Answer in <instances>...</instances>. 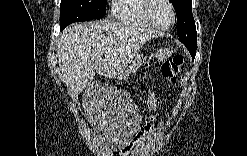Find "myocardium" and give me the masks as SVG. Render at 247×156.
Masks as SVG:
<instances>
[{
    "label": "myocardium",
    "instance_id": "f54148a6",
    "mask_svg": "<svg viewBox=\"0 0 247 156\" xmlns=\"http://www.w3.org/2000/svg\"><path fill=\"white\" fill-rule=\"evenodd\" d=\"M158 1V0H147L145 1L144 3V15L147 19V21L149 22V24L153 27V28H156V29H159V30H168L170 28H172L176 22V13H175V10H174V7L172 5V3L169 1V0H159V1H163L165 2L168 7L170 8V11H171V14H172V21L170 24L168 25H159L157 24L151 17V10H152V7L154 5V3Z\"/></svg>",
    "mask_w": 247,
    "mask_h": 156
}]
</instances>
